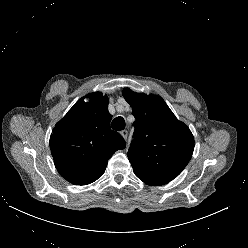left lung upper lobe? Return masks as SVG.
<instances>
[{
	"label": "left lung upper lobe",
	"instance_id": "left-lung-upper-lobe-1",
	"mask_svg": "<svg viewBox=\"0 0 248 248\" xmlns=\"http://www.w3.org/2000/svg\"><path fill=\"white\" fill-rule=\"evenodd\" d=\"M125 100L136 118L127 156L135 175L148 185H164L186 167L194 150L193 135L165 101L125 88Z\"/></svg>",
	"mask_w": 248,
	"mask_h": 248
}]
</instances>
